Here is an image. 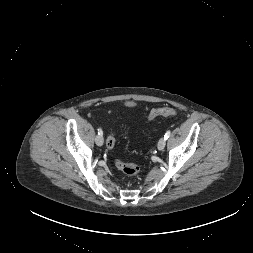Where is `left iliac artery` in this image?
<instances>
[{"mask_svg":"<svg viewBox=\"0 0 253 253\" xmlns=\"http://www.w3.org/2000/svg\"><path fill=\"white\" fill-rule=\"evenodd\" d=\"M170 136V131L168 130L165 135H164V139L167 140Z\"/></svg>","mask_w":253,"mask_h":253,"instance_id":"left-iliac-artery-1","label":"left iliac artery"}]
</instances>
